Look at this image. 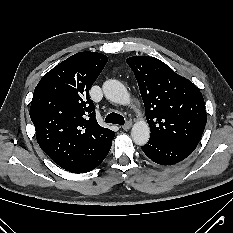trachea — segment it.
<instances>
[{
  "label": "trachea",
  "instance_id": "3493384b",
  "mask_svg": "<svg viewBox=\"0 0 233 233\" xmlns=\"http://www.w3.org/2000/svg\"><path fill=\"white\" fill-rule=\"evenodd\" d=\"M105 122L106 123H112V124L124 125L125 120H124V117L122 115H120V114L110 113L105 118Z\"/></svg>",
  "mask_w": 233,
  "mask_h": 233
}]
</instances>
